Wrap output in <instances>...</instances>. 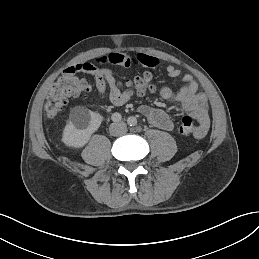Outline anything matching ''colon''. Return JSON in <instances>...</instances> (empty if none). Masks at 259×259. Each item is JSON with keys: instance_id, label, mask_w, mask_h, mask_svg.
Masks as SVG:
<instances>
[{"instance_id": "5ec220e1", "label": "colon", "mask_w": 259, "mask_h": 259, "mask_svg": "<svg viewBox=\"0 0 259 259\" xmlns=\"http://www.w3.org/2000/svg\"><path fill=\"white\" fill-rule=\"evenodd\" d=\"M127 90L137 95H144L152 89L151 76L144 73L126 82ZM90 92V85L74 73H64L51 87L45 103V112L49 119H55L65 108L69 98H86ZM180 133L195 135L198 126L192 117L184 116L179 126Z\"/></svg>"}]
</instances>
